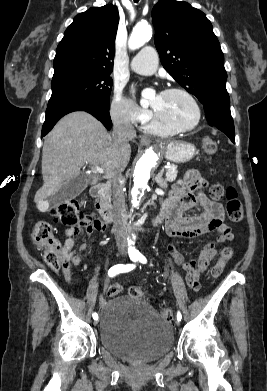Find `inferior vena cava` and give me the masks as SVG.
Listing matches in <instances>:
<instances>
[{"label":"inferior vena cava","instance_id":"1","mask_svg":"<svg viewBox=\"0 0 267 391\" xmlns=\"http://www.w3.org/2000/svg\"><path fill=\"white\" fill-rule=\"evenodd\" d=\"M112 137L117 146L129 147V141L136 136V131L126 118H114ZM122 174L112 177L113 190V232L118 250L124 252L127 248V213L123 192Z\"/></svg>","mask_w":267,"mask_h":391}]
</instances>
